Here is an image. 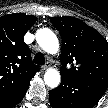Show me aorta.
<instances>
[{
    "label": "aorta",
    "mask_w": 108,
    "mask_h": 108,
    "mask_svg": "<svg viewBox=\"0 0 108 108\" xmlns=\"http://www.w3.org/2000/svg\"><path fill=\"white\" fill-rule=\"evenodd\" d=\"M36 41L39 46L49 54H56L59 51V41L56 34L48 28L39 29L36 32ZM61 81L60 72L50 68L44 74V82L50 88H56Z\"/></svg>",
    "instance_id": "1"
}]
</instances>
